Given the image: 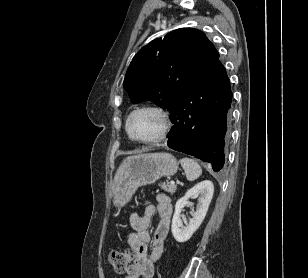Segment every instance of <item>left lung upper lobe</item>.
Listing matches in <instances>:
<instances>
[{
	"label": "left lung upper lobe",
	"instance_id": "obj_1",
	"mask_svg": "<svg viewBox=\"0 0 308 278\" xmlns=\"http://www.w3.org/2000/svg\"><path fill=\"white\" fill-rule=\"evenodd\" d=\"M219 59L205 34L181 28L151 41L134 56L123 86L132 103L153 101L167 109Z\"/></svg>",
	"mask_w": 308,
	"mask_h": 278
}]
</instances>
